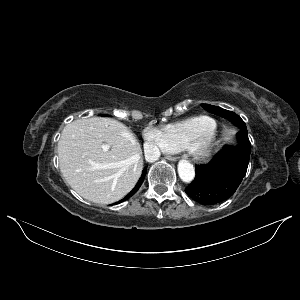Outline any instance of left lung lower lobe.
<instances>
[{
    "label": "left lung lower lobe",
    "mask_w": 300,
    "mask_h": 300,
    "mask_svg": "<svg viewBox=\"0 0 300 300\" xmlns=\"http://www.w3.org/2000/svg\"><path fill=\"white\" fill-rule=\"evenodd\" d=\"M238 145L225 146L208 164L196 165L195 179L185 192L202 205H215L231 197L244 178L250 157L248 134H237Z\"/></svg>",
    "instance_id": "obj_1"
}]
</instances>
